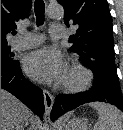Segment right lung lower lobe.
Instances as JSON below:
<instances>
[{
  "mask_svg": "<svg viewBox=\"0 0 123 130\" xmlns=\"http://www.w3.org/2000/svg\"><path fill=\"white\" fill-rule=\"evenodd\" d=\"M20 63L1 60V88L7 90L39 117L44 114L42 90L27 80L20 68Z\"/></svg>",
  "mask_w": 123,
  "mask_h": 130,
  "instance_id": "98d812e1",
  "label": "right lung lower lobe"
}]
</instances>
